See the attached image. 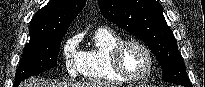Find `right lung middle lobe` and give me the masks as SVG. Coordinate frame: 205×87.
Returning <instances> with one entry per match:
<instances>
[{
  "label": "right lung middle lobe",
  "mask_w": 205,
  "mask_h": 87,
  "mask_svg": "<svg viewBox=\"0 0 205 87\" xmlns=\"http://www.w3.org/2000/svg\"><path fill=\"white\" fill-rule=\"evenodd\" d=\"M63 36L64 34H60L30 39L23 50L13 87H17L26 78L57 67L56 60Z\"/></svg>",
  "instance_id": "right-lung-middle-lobe-1"
}]
</instances>
